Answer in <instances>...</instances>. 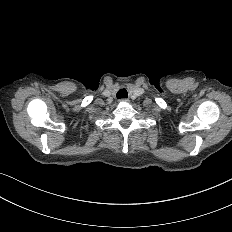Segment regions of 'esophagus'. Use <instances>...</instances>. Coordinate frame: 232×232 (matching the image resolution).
I'll use <instances>...</instances> for the list:
<instances>
[{"label":"esophagus","instance_id":"obj_1","mask_svg":"<svg viewBox=\"0 0 232 232\" xmlns=\"http://www.w3.org/2000/svg\"><path fill=\"white\" fill-rule=\"evenodd\" d=\"M119 101H120V102H126V103L129 102V100H128V99H125V98H122V99H120Z\"/></svg>","mask_w":232,"mask_h":232}]
</instances>
